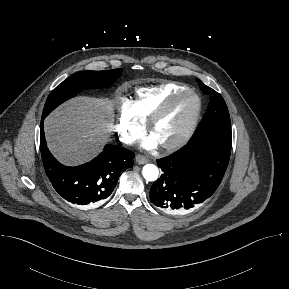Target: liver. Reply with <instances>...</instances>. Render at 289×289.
<instances>
[{
	"label": "liver",
	"mask_w": 289,
	"mask_h": 289,
	"mask_svg": "<svg viewBox=\"0 0 289 289\" xmlns=\"http://www.w3.org/2000/svg\"><path fill=\"white\" fill-rule=\"evenodd\" d=\"M114 100L79 96L62 104L45 119V134L52 154L75 166L96 156L109 140Z\"/></svg>",
	"instance_id": "obj_1"
}]
</instances>
